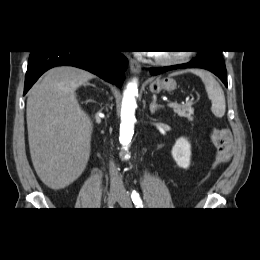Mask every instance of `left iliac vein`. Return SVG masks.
I'll list each match as a JSON object with an SVG mask.
<instances>
[{
	"label": "left iliac vein",
	"instance_id": "4c4485c4",
	"mask_svg": "<svg viewBox=\"0 0 260 260\" xmlns=\"http://www.w3.org/2000/svg\"><path fill=\"white\" fill-rule=\"evenodd\" d=\"M118 203L124 208H130L132 206L131 199L127 192L121 193V195L118 199Z\"/></svg>",
	"mask_w": 260,
	"mask_h": 260
}]
</instances>
